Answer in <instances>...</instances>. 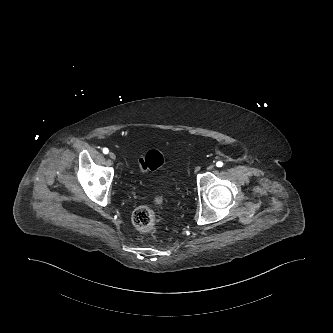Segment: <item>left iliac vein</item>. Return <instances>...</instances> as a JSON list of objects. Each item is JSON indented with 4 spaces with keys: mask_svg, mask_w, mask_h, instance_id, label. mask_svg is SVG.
Instances as JSON below:
<instances>
[{
    "mask_svg": "<svg viewBox=\"0 0 333 333\" xmlns=\"http://www.w3.org/2000/svg\"><path fill=\"white\" fill-rule=\"evenodd\" d=\"M214 168V165H209L208 167H207V170H212Z\"/></svg>",
    "mask_w": 333,
    "mask_h": 333,
    "instance_id": "left-iliac-vein-1",
    "label": "left iliac vein"
}]
</instances>
